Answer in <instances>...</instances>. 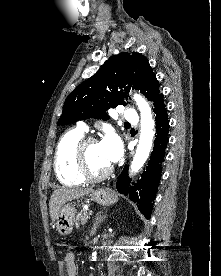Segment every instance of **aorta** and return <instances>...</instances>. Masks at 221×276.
I'll return each instance as SVG.
<instances>
[{"label": "aorta", "instance_id": "aorta-1", "mask_svg": "<svg viewBox=\"0 0 221 276\" xmlns=\"http://www.w3.org/2000/svg\"><path fill=\"white\" fill-rule=\"evenodd\" d=\"M133 98L139 108L141 117L139 144L130 166V172L136 173L143 167L149 156L154 137L155 123L152 119L151 108L145 98L138 94H135ZM96 256V252H93L92 258L96 259Z\"/></svg>", "mask_w": 221, "mask_h": 276}]
</instances>
